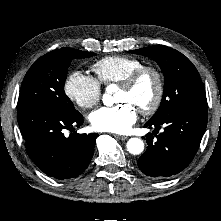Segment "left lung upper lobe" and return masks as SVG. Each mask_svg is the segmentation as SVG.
<instances>
[{"label":"left lung upper lobe","mask_w":221,"mask_h":221,"mask_svg":"<svg viewBox=\"0 0 221 221\" xmlns=\"http://www.w3.org/2000/svg\"><path fill=\"white\" fill-rule=\"evenodd\" d=\"M130 52L153 58L164 74L162 101L149 122L161 120L188 105L207 103L199 73L182 53L160 45L130 50Z\"/></svg>","instance_id":"1"}]
</instances>
